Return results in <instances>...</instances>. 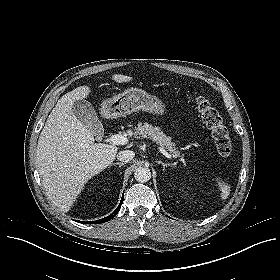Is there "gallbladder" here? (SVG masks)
<instances>
[{"mask_svg":"<svg viewBox=\"0 0 280 280\" xmlns=\"http://www.w3.org/2000/svg\"><path fill=\"white\" fill-rule=\"evenodd\" d=\"M72 111L77 119L91 130L96 139L100 140L103 137V126L97 117L94 107L89 101L85 99L75 100Z\"/></svg>","mask_w":280,"mask_h":280,"instance_id":"gallbladder-1","label":"gallbladder"}]
</instances>
